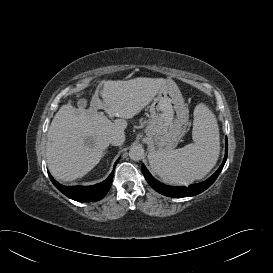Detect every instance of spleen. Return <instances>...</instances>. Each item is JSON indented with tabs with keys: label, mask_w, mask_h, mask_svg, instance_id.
<instances>
[{
	"label": "spleen",
	"mask_w": 273,
	"mask_h": 273,
	"mask_svg": "<svg viewBox=\"0 0 273 273\" xmlns=\"http://www.w3.org/2000/svg\"><path fill=\"white\" fill-rule=\"evenodd\" d=\"M192 138L194 143L183 148L150 153L152 171L166 182L179 184L208 174L218 160L220 139L215 115L202 103L194 110Z\"/></svg>",
	"instance_id": "spleen-1"
}]
</instances>
